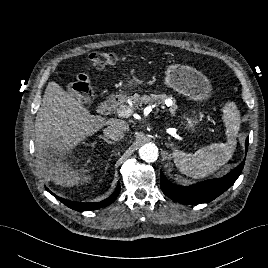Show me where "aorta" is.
Wrapping results in <instances>:
<instances>
[{"mask_svg": "<svg viewBox=\"0 0 268 268\" xmlns=\"http://www.w3.org/2000/svg\"><path fill=\"white\" fill-rule=\"evenodd\" d=\"M158 148L153 143H147L140 147L139 156L145 162H155L158 158Z\"/></svg>", "mask_w": 268, "mask_h": 268, "instance_id": "1", "label": "aorta"}]
</instances>
